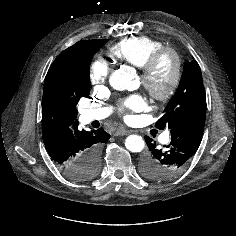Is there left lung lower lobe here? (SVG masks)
Returning <instances> with one entry per match:
<instances>
[{
  "instance_id": "1",
  "label": "left lung lower lobe",
  "mask_w": 236,
  "mask_h": 236,
  "mask_svg": "<svg viewBox=\"0 0 236 236\" xmlns=\"http://www.w3.org/2000/svg\"><path fill=\"white\" fill-rule=\"evenodd\" d=\"M206 115H195L180 121L170 129L171 143L164 149L148 136L149 151L141 160L143 176L153 181H166L177 176L190 163L196 153L204 131Z\"/></svg>"
}]
</instances>
